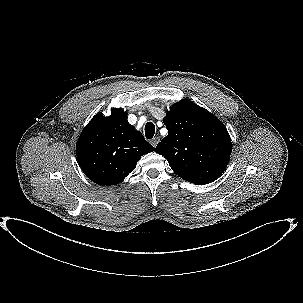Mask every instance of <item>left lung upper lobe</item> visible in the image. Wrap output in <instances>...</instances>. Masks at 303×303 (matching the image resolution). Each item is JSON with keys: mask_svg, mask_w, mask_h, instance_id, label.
<instances>
[{"mask_svg": "<svg viewBox=\"0 0 303 303\" xmlns=\"http://www.w3.org/2000/svg\"><path fill=\"white\" fill-rule=\"evenodd\" d=\"M168 135L155 151L172 170L194 184H207L226 169L232 143L223 123L206 109L189 100L171 107L163 120Z\"/></svg>", "mask_w": 303, "mask_h": 303, "instance_id": "obj_1", "label": "left lung upper lobe"}]
</instances>
